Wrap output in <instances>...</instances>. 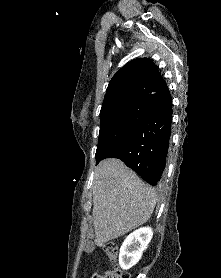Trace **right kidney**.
Returning <instances> with one entry per match:
<instances>
[{
	"mask_svg": "<svg viewBox=\"0 0 221 278\" xmlns=\"http://www.w3.org/2000/svg\"><path fill=\"white\" fill-rule=\"evenodd\" d=\"M152 236V229L143 227L131 233L124 240L119 254V265L122 269L128 270L138 263Z\"/></svg>",
	"mask_w": 221,
	"mask_h": 278,
	"instance_id": "obj_1",
	"label": "right kidney"
}]
</instances>
